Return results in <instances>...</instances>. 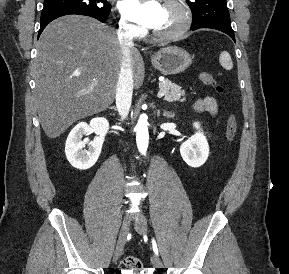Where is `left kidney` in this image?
I'll use <instances>...</instances> for the list:
<instances>
[{
	"instance_id": "5707ae66",
	"label": "left kidney",
	"mask_w": 289,
	"mask_h": 274,
	"mask_svg": "<svg viewBox=\"0 0 289 274\" xmlns=\"http://www.w3.org/2000/svg\"><path fill=\"white\" fill-rule=\"evenodd\" d=\"M198 130L200 125L194 123ZM180 154L183 160L191 167L202 166L209 156V145L203 132L200 130L180 146Z\"/></svg>"
}]
</instances>
